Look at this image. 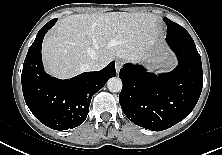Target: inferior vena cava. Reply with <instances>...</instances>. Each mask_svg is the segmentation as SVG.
<instances>
[{"label":"inferior vena cava","instance_id":"602c4592","mask_svg":"<svg viewBox=\"0 0 222 155\" xmlns=\"http://www.w3.org/2000/svg\"><path fill=\"white\" fill-rule=\"evenodd\" d=\"M103 68V65L98 61H91L85 65V69L88 71H99Z\"/></svg>","mask_w":222,"mask_h":155}]
</instances>
